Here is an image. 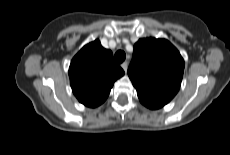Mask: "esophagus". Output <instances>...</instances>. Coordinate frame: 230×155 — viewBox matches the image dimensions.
I'll list each match as a JSON object with an SVG mask.
<instances>
[{
  "label": "esophagus",
  "instance_id": "1",
  "mask_svg": "<svg viewBox=\"0 0 230 155\" xmlns=\"http://www.w3.org/2000/svg\"><path fill=\"white\" fill-rule=\"evenodd\" d=\"M121 67L123 68V70H124L125 72H127L128 63H127V62H123V63L121 64Z\"/></svg>",
  "mask_w": 230,
  "mask_h": 155
}]
</instances>
